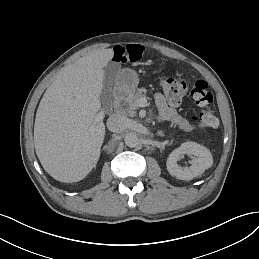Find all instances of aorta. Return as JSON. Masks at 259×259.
Returning a JSON list of instances; mask_svg holds the SVG:
<instances>
[{"instance_id":"762f6f07","label":"aorta","mask_w":259,"mask_h":259,"mask_svg":"<svg viewBox=\"0 0 259 259\" xmlns=\"http://www.w3.org/2000/svg\"><path fill=\"white\" fill-rule=\"evenodd\" d=\"M124 141H125V144L131 148L138 146V144L140 143L138 135L134 132L127 133L125 135Z\"/></svg>"}]
</instances>
